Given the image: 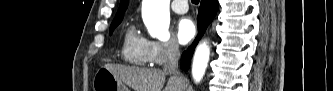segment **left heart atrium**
Returning a JSON list of instances; mask_svg holds the SVG:
<instances>
[{
  "instance_id": "39dd6f15",
  "label": "left heart atrium",
  "mask_w": 333,
  "mask_h": 91,
  "mask_svg": "<svg viewBox=\"0 0 333 91\" xmlns=\"http://www.w3.org/2000/svg\"><path fill=\"white\" fill-rule=\"evenodd\" d=\"M196 34V27L190 18H182L177 24V37L181 44L190 42Z\"/></svg>"
}]
</instances>
